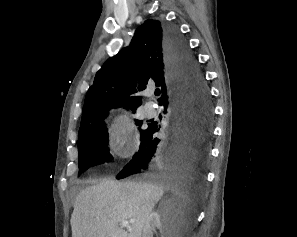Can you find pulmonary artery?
Instances as JSON below:
<instances>
[{
    "label": "pulmonary artery",
    "instance_id": "obj_1",
    "mask_svg": "<svg viewBox=\"0 0 297 237\" xmlns=\"http://www.w3.org/2000/svg\"><path fill=\"white\" fill-rule=\"evenodd\" d=\"M145 111H146L147 116L151 117L157 113V108L153 103L149 102L145 105Z\"/></svg>",
    "mask_w": 297,
    "mask_h": 237
}]
</instances>
